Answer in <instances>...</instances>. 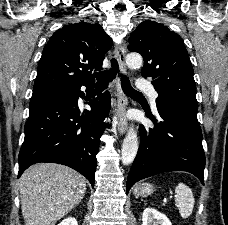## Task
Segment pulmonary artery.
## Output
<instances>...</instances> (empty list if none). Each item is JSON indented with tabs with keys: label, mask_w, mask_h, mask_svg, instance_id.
Segmentation results:
<instances>
[{
	"label": "pulmonary artery",
	"mask_w": 228,
	"mask_h": 225,
	"mask_svg": "<svg viewBox=\"0 0 228 225\" xmlns=\"http://www.w3.org/2000/svg\"><path fill=\"white\" fill-rule=\"evenodd\" d=\"M136 85L137 90H145V92L149 96L152 109L154 110V112H157L156 100L158 97V93L156 92V90L152 87V85H148V81H137Z\"/></svg>",
	"instance_id": "e3ab8cb5"
}]
</instances>
